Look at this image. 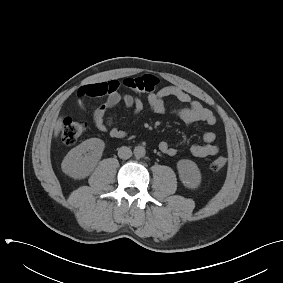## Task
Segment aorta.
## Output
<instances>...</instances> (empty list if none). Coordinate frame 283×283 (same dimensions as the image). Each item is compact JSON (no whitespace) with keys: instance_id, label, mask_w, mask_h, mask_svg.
I'll return each instance as SVG.
<instances>
[{"instance_id":"aorta-1","label":"aorta","mask_w":283,"mask_h":283,"mask_svg":"<svg viewBox=\"0 0 283 283\" xmlns=\"http://www.w3.org/2000/svg\"><path fill=\"white\" fill-rule=\"evenodd\" d=\"M146 154V150L143 146H136L134 148V155L136 158H142Z\"/></svg>"}]
</instances>
